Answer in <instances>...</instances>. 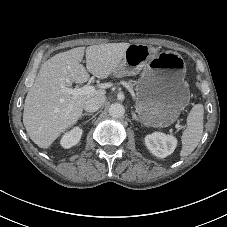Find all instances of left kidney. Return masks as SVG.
<instances>
[{"mask_svg": "<svg viewBox=\"0 0 227 227\" xmlns=\"http://www.w3.org/2000/svg\"><path fill=\"white\" fill-rule=\"evenodd\" d=\"M145 144L153 155L165 158L174 152L177 139L172 135L155 132L145 137Z\"/></svg>", "mask_w": 227, "mask_h": 227, "instance_id": "obj_1", "label": "left kidney"}]
</instances>
